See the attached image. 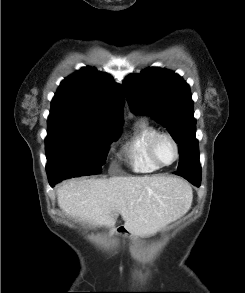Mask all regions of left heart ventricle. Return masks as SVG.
Returning a JSON list of instances; mask_svg holds the SVG:
<instances>
[{"label": "left heart ventricle", "instance_id": "obj_1", "mask_svg": "<svg viewBox=\"0 0 245 293\" xmlns=\"http://www.w3.org/2000/svg\"><path fill=\"white\" fill-rule=\"evenodd\" d=\"M157 156L162 163H170L174 159V148L171 142L166 139H160L156 147Z\"/></svg>", "mask_w": 245, "mask_h": 293}]
</instances>
